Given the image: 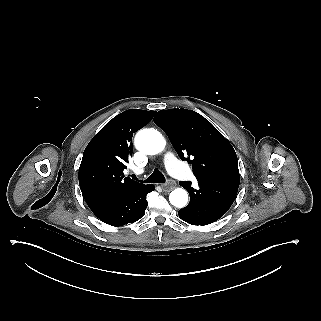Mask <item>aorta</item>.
I'll return each mask as SVG.
<instances>
[{"instance_id": "aorta-1", "label": "aorta", "mask_w": 321, "mask_h": 321, "mask_svg": "<svg viewBox=\"0 0 321 321\" xmlns=\"http://www.w3.org/2000/svg\"><path fill=\"white\" fill-rule=\"evenodd\" d=\"M135 146L145 154L155 155L164 150L166 141L156 129H143L136 134ZM169 201L173 206L183 208L188 202V194L186 190L176 188L170 193Z\"/></svg>"}]
</instances>
